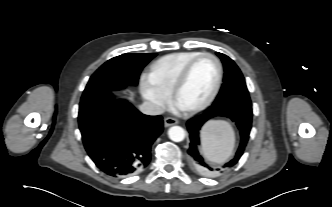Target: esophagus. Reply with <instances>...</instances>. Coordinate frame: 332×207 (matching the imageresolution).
<instances>
[{
	"label": "esophagus",
	"mask_w": 332,
	"mask_h": 207,
	"mask_svg": "<svg viewBox=\"0 0 332 207\" xmlns=\"http://www.w3.org/2000/svg\"><path fill=\"white\" fill-rule=\"evenodd\" d=\"M178 123V120L173 117H167L164 120L165 127H169Z\"/></svg>",
	"instance_id": "1"
}]
</instances>
